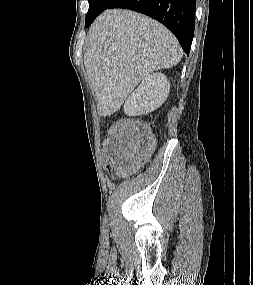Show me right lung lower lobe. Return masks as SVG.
I'll return each mask as SVG.
<instances>
[{"mask_svg":"<svg viewBox=\"0 0 253 285\" xmlns=\"http://www.w3.org/2000/svg\"><path fill=\"white\" fill-rule=\"evenodd\" d=\"M108 8L130 9L158 20L189 55L195 29V0H114Z\"/></svg>","mask_w":253,"mask_h":285,"instance_id":"obj_1","label":"right lung lower lobe"}]
</instances>
